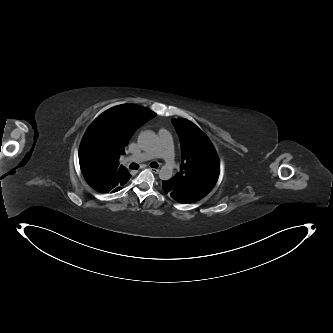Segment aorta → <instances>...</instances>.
I'll return each instance as SVG.
<instances>
[{"label": "aorta", "instance_id": "1", "mask_svg": "<svg viewBox=\"0 0 333 333\" xmlns=\"http://www.w3.org/2000/svg\"><path fill=\"white\" fill-rule=\"evenodd\" d=\"M138 144L146 151L155 149L158 145V139L155 132L151 130L142 131L138 136ZM171 177L172 170L167 166H163L159 171V178L161 180H168Z\"/></svg>", "mask_w": 333, "mask_h": 333}]
</instances>
